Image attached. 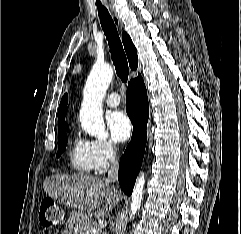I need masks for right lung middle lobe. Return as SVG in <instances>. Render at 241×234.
<instances>
[{
    "label": "right lung middle lobe",
    "mask_w": 241,
    "mask_h": 234,
    "mask_svg": "<svg viewBox=\"0 0 241 234\" xmlns=\"http://www.w3.org/2000/svg\"><path fill=\"white\" fill-rule=\"evenodd\" d=\"M68 130H69V127L58 131L59 147L56 155L57 157H59L61 153L64 152V150L66 149L68 138L65 131H68Z\"/></svg>",
    "instance_id": "right-lung-middle-lobe-1"
}]
</instances>
